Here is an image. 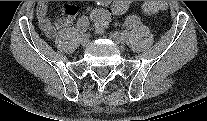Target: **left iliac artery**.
I'll use <instances>...</instances> for the list:
<instances>
[{
    "mask_svg": "<svg viewBox=\"0 0 207 121\" xmlns=\"http://www.w3.org/2000/svg\"><path fill=\"white\" fill-rule=\"evenodd\" d=\"M139 20H140L139 17L137 15H135V14L132 15V16L130 15V16L127 17V22L130 23V24L131 23H135L136 24V23L139 22Z\"/></svg>",
    "mask_w": 207,
    "mask_h": 121,
    "instance_id": "1",
    "label": "left iliac artery"
}]
</instances>
